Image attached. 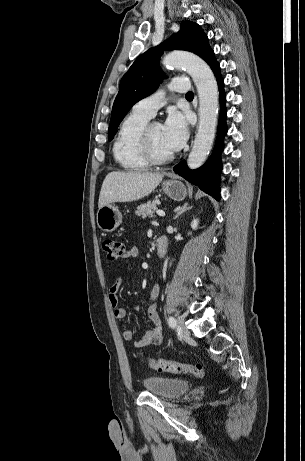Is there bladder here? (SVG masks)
<instances>
[{
    "label": "bladder",
    "instance_id": "1",
    "mask_svg": "<svg viewBox=\"0 0 305 461\" xmlns=\"http://www.w3.org/2000/svg\"><path fill=\"white\" fill-rule=\"evenodd\" d=\"M142 385L148 392L164 399L178 398L190 388V383L187 380L156 375L144 378Z\"/></svg>",
    "mask_w": 305,
    "mask_h": 461
}]
</instances>
